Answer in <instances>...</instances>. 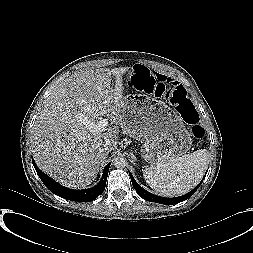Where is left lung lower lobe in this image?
I'll return each mask as SVG.
<instances>
[{
    "mask_svg": "<svg viewBox=\"0 0 253 253\" xmlns=\"http://www.w3.org/2000/svg\"><path fill=\"white\" fill-rule=\"evenodd\" d=\"M129 175L131 177L133 187L136 190V192L139 194V196H141L143 199L150 201V202H156V203L168 204V205L177 204V203H180V202L188 199L190 196H192L194 194V192L199 188V186L201 184L200 183L196 188H194L192 191H190L189 193H187L183 196L176 197V198H165V197L154 195V194L146 191L140 185H138V183L135 181V179L133 178V176L130 172H129Z\"/></svg>",
    "mask_w": 253,
    "mask_h": 253,
    "instance_id": "left-lung-lower-lobe-1",
    "label": "left lung lower lobe"
}]
</instances>
